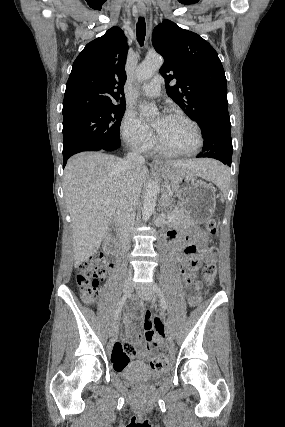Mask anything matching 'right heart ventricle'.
Instances as JSON below:
<instances>
[{
	"instance_id": "1",
	"label": "right heart ventricle",
	"mask_w": 285,
	"mask_h": 427,
	"mask_svg": "<svg viewBox=\"0 0 285 427\" xmlns=\"http://www.w3.org/2000/svg\"><path fill=\"white\" fill-rule=\"evenodd\" d=\"M150 151H157V152H159V153H161V154H163V155H165V156H172L173 154H171V153H169V152H167V151H165L164 149H162L159 145H156V144H154L149 150H148V152H150Z\"/></svg>"
}]
</instances>
